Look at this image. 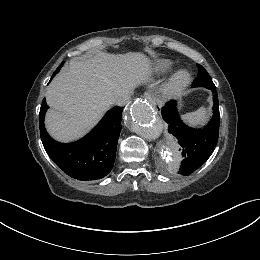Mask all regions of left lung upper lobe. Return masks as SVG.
I'll return each mask as SVG.
<instances>
[{"instance_id": "left-lung-upper-lobe-1", "label": "left lung upper lobe", "mask_w": 260, "mask_h": 260, "mask_svg": "<svg viewBox=\"0 0 260 260\" xmlns=\"http://www.w3.org/2000/svg\"><path fill=\"white\" fill-rule=\"evenodd\" d=\"M199 71H198V77L197 79L193 82V87H206V88H215V85L207 73V71L202 67L201 65L198 66Z\"/></svg>"}]
</instances>
